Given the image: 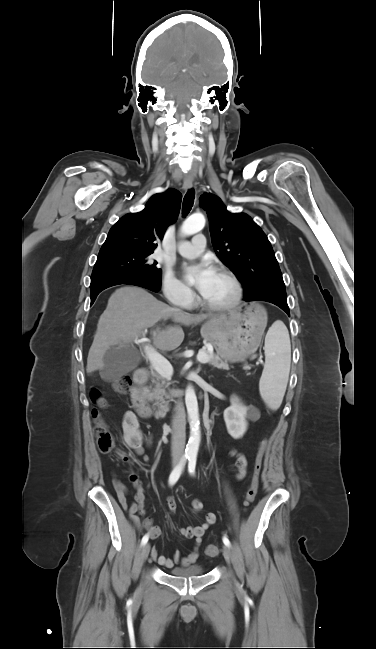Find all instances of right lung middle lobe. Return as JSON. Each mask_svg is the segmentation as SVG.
Masks as SVG:
<instances>
[{
  "mask_svg": "<svg viewBox=\"0 0 376 649\" xmlns=\"http://www.w3.org/2000/svg\"><path fill=\"white\" fill-rule=\"evenodd\" d=\"M153 251H118L99 254L91 279L109 274L142 276L161 283V269L150 255Z\"/></svg>",
  "mask_w": 376,
  "mask_h": 649,
  "instance_id": "obj_1",
  "label": "right lung middle lobe"
}]
</instances>
